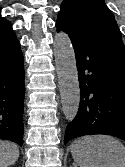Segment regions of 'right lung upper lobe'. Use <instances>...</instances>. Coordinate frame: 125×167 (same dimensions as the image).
<instances>
[{
    "mask_svg": "<svg viewBox=\"0 0 125 167\" xmlns=\"http://www.w3.org/2000/svg\"><path fill=\"white\" fill-rule=\"evenodd\" d=\"M11 28V23L6 19L2 18L0 15V30Z\"/></svg>",
    "mask_w": 125,
    "mask_h": 167,
    "instance_id": "1",
    "label": "right lung upper lobe"
}]
</instances>
